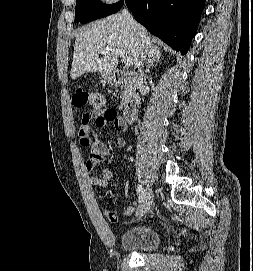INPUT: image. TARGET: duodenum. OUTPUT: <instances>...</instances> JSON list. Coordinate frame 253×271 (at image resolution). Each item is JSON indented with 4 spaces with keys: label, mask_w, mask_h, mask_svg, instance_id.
Here are the masks:
<instances>
[{
    "label": "duodenum",
    "mask_w": 253,
    "mask_h": 271,
    "mask_svg": "<svg viewBox=\"0 0 253 271\" xmlns=\"http://www.w3.org/2000/svg\"><path fill=\"white\" fill-rule=\"evenodd\" d=\"M110 79L114 85L129 87V97L123 106L122 114L123 119L130 123L136 118L140 105L138 96L132 91V88L136 85V75L131 72L116 70L111 73Z\"/></svg>",
    "instance_id": "410a0bca"
}]
</instances>
